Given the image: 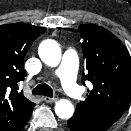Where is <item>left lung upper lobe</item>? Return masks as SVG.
I'll return each instance as SVG.
<instances>
[{"label": "left lung upper lobe", "mask_w": 131, "mask_h": 131, "mask_svg": "<svg viewBox=\"0 0 131 131\" xmlns=\"http://www.w3.org/2000/svg\"><path fill=\"white\" fill-rule=\"evenodd\" d=\"M79 32L86 59L82 83L90 81L93 89L77 104L75 114L106 131L131 102V57L122 42L103 27L82 24Z\"/></svg>", "instance_id": "obj_1"}]
</instances>
